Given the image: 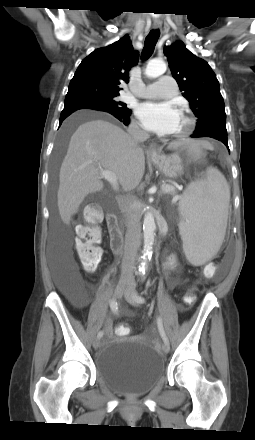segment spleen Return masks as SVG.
Returning <instances> with one entry per match:
<instances>
[{
    "instance_id": "spleen-1",
    "label": "spleen",
    "mask_w": 255,
    "mask_h": 440,
    "mask_svg": "<svg viewBox=\"0 0 255 440\" xmlns=\"http://www.w3.org/2000/svg\"><path fill=\"white\" fill-rule=\"evenodd\" d=\"M229 200L228 184L217 169H211L206 180L190 183L183 193L179 230L192 264L202 265L218 252L226 232Z\"/></svg>"
}]
</instances>
